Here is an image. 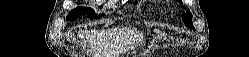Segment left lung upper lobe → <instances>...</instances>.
Here are the masks:
<instances>
[{
    "label": "left lung upper lobe",
    "instance_id": "obj_1",
    "mask_svg": "<svg viewBox=\"0 0 249 57\" xmlns=\"http://www.w3.org/2000/svg\"><path fill=\"white\" fill-rule=\"evenodd\" d=\"M178 1L182 2L181 0H178ZM191 17H192V14L190 13V11H187L186 13L182 14V19H183L184 23L187 26H189L190 28H194Z\"/></svg>",
    "mask_w": 249,
    "mask_h": 57
}]
</instances>
